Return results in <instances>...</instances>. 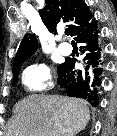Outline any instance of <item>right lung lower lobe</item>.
Returning a JSON list of instances; mask_svg holds the SVG:
<instances>
[{"instance_id": "98d812e1", "label": "right lung lower lobe", "mask_w": 117, "mask_h": 136, "mask_svg": "<svg viewBox=\"0 0 117 136\" xmlns=\"http://www.w3.org/2000/svg\"><path fill=\"white\" fill-rule=\"evenodd\" d=\"M97 21L94 19L77 36L76 41L83 43L80 47L86 56L85 71L74 70L76 59H67L58 68V83L70 97L86 99L93 106L99 104L98 90L103 77V60L98 40Z\"/></svg>"}]
</instances>
